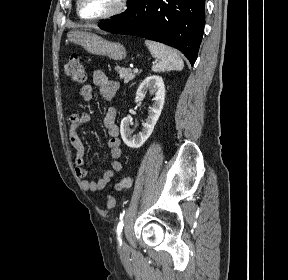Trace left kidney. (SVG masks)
Returning <instances> with one entry per match:
<instances>
[{
  "label": "left kidney",
  "instance_id": "5707ae66",
  "mask_svg": "<svg viewBox=\"0 0 288 280\" xmlns=\"http://www.w3.org/2000/svg\"><path fill=\"white\" fill-rule=\"evenodd\" d=\"M147 90H149L151 95H154V98L153 105L150 107L148 117L145 123H143L141 132L135 136L132 135L130 129L132 120L129 117L123 118L120 124L122 140L130 148H139L145 143L152 134L163 109L165 102V85L162 77L156 75L147 77L139 86L136 92V99L142 100Z\"/></svg>",
  "mask_w": 288,
  "mask_h": 280
}]
</instances>
